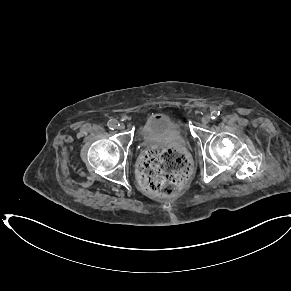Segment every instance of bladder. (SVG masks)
Returning <instances> with one entry per match:
<instances>
[{"label":"bladder","mask_w":291,"mask_h":291,"mask_svg":"<svg viewBox=\"0 0 291 291\" xmlns=\"http://www.w3.org/2000/svg\"><path fill=\"white\" fill-rule=\"evenodd\" d=\"M141 139H153L158 136H169L184 140L185 127L180 120L167 115H153L146 119L139 129Z\"/></svg>","instance_id":"bladder-1"}]
</instances>
